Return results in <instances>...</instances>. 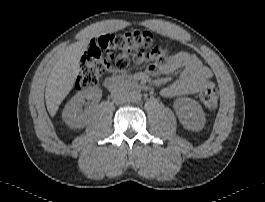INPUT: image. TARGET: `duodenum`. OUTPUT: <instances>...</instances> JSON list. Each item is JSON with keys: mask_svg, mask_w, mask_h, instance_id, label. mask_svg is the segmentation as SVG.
Here are the masks:
<instances>
[{"mask_svg": "<svg viewBox=\"0 0 265 202\" xmlns=\"http://www.w3.org/2000/svg\"><path fill=\"white\" fill-rule=\"evenodd\" d=\"M105 87L108 91L115 93L122 88H128L131 90H144L148 91L149 87L134 78L126 75H115L107 77L104 81Z\"/></svg>", "mask_w": 265, "mask_h": 202, "instance_id": "410a0bca", "label": "duodenum"}]
</instances>
